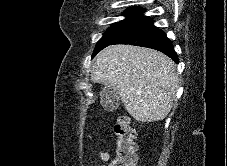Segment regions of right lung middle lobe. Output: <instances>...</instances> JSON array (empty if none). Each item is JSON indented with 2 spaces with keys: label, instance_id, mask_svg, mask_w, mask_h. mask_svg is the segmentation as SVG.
Listing matches in <instances>:
<instances>
[{
  "label": "right lung middle lobe",
  "instance_id": "dd1d6c3e",
  "mask_svg": "<svg viewBox=\"0 0 227 166\" xmlns=\"http://www.w3.org/2000/svg\"><path fill=\"white\" fill-rule=\"evenodd\" d=\"M142 8H130L125 11L124 15L127 16L126 19L117 22L112 25L103 35V37L98 41L96 48L94 50L93 56L96 55L100 50L108 46L111 42L121 38L126 35L140 24L145 22L149 17L143 15Z\"/></svg>",
  "mask_w": 227,
  "mask_h": 166
}]
</instances>
